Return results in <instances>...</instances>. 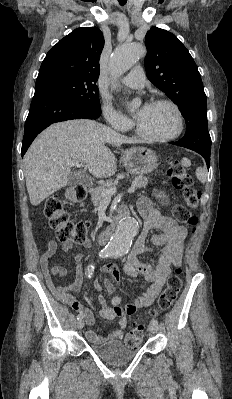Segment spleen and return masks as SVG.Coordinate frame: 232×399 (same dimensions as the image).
Listing matches in <instances>:
<instances>
[{"label": "spleen", "instance_id": "spleen-1", "mask_svg": "<svg viewBox=\"0 0 232 399\" xmlns=\"http://www.w3.org/2000/svg\"><path fill=\"white\" fill-rule=\"evenodd\" d=\"M196 176H197V180H199V182H201V184H205V182L207 180V172H206L205 168H197Z\"/></svg>", "mask_w": 232, "mask_h": 399}]
</instances>
